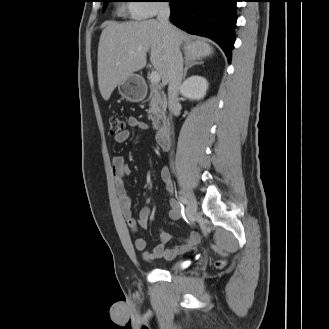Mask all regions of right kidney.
I'll list each match as a JSON object with an SVG mask.
<instances>
[{"mask_svg":"<svg viewBox=\"0 0 329 329\" xmlns=\"http://www.w3.org/2000/svg\"><path fill=\"white\" fill-rule=\"evenodd\" d=\"M208 81L201 76L193 75L180 86L181 94L190 100H200L206 95Z\"/></svg>","mask_w":329,"mask_h":329,"instance_id":"ca27d5eb","label":"right kidney"}]
</instances>
